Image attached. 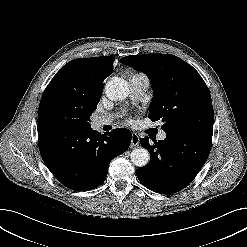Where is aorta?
Masks as SVG:
<instances>
[{
  "label": "aorta",
  "instance_id": "762f6f07",
  "mask_svg": "<svg viewBox=\"0 0 247 247\" xmlns=\"http://www.w3.org/2000/svg\"><path fill=\"white\" fill-rule=\"evenodd\" d=\"M105 94L112 101L125 99L129 94V88L125 80L112 77L105 85ZM132 163L137 167H144L149 163L150 154L145 148H135L130 155Z\"/></svg>",
  "mask_w": 247,
  "mask_h": 247
}]
</instances>
